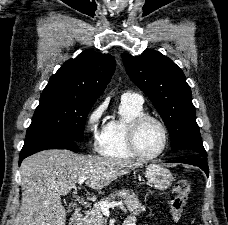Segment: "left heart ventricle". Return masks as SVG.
<instances>
[{
    "label": "left heart ventricle",
    "mask_w": 228,
    "mask_h": 225,
    "mask_svg": "<svg viewBox=\"0 0 228 225\" xmlns=\"http://www.w3.org/2000/svg\"><path fill=\"white\" fill-rule=\"evenodd\" d=\"M138 141L143 153L152 155L159 152L164 142V134L159 124L147 121L140 130Z\"/></svg>",
    "instance_id": "1"
}]
</instances>
